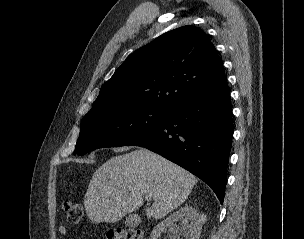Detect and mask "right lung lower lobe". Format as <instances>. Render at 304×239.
Masks as SVG:
<instances>
[{"label": "right lung lower lobe", "mask_w": 304, "mask_h": 239, "mask_svg": "<svg viewBox=\"0 0 304 239\" xmlns=\"http://www.w3.org/2000/svg\"><path fill=\"white\" fill-rule=\"evenodd\" d=\"M226 81L171 108L161 125L127 144L147 148L207 183L223 203L233 135Z\"/></svg>", "instance_id": "1"}]
</instances>
